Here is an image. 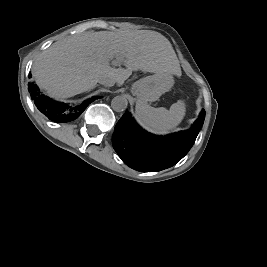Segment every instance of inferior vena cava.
I'll return each instance as SVG.
<instances>
[{
  "label": "inferior vena cava",
  "mask_w": 267,
  "mask_h": 267,
  "mask_svg": "<svg viewBox=\"0 0 267 267\" xmlns=\"http://www.w3.org/2000/svg\"><path fill=\"white\" fill-rule=\"evenodd\" d=\"M98 82L106 87H111L115 84V80L108 77H102Z\"/></svg>",
  "instance_id": "inferior-vena-cava-1"
}]
</instances>
